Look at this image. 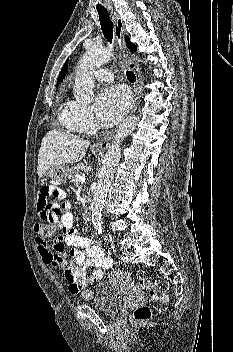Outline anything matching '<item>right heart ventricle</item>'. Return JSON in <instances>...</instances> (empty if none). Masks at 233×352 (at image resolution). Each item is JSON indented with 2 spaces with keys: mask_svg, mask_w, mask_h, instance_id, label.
<instances>
[{
  "mask_svg": "<svg viewBox=\"0 0 233 352\" xmlns=\"http://www.w3.org/2000/svg\"><path fill=\"white\" fill-rule=\"evenodd\" d=\"M59 119L67 131L80 132L76 123L72 102L67 101L63 104L59 113Z\"/></svg>",
  "mask_w": 233,
  "mask_h": 352,
  "instance_id": "right-heart-ventricle-1",
  "label": "right heart ventricle"
}]
</instances>
